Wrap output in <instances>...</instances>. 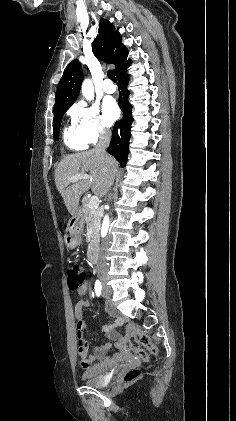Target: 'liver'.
I'll return each instance as SVG.
<instances>
[{
	"instance_id": "6515ba94",
	"label": "liver",
	"mask_w": 236,
	"mask_h": 421,
	"mask_svg": "<svg viewBox=\"0 0 236 421\" xmlns=\"http://www.w3.org/2000/svg\"><path fill=\"white\" fill-rule=\"evenodd\" d=\"M118 168V162L114 156L96 152L95 148L86 150V152H77V154H68L60 160L55 168V184L63 196L67 211L76 217L79 208L80 196L91 188L100 196L106 194L109 186L113 184L115 172ZM90 172L91 178H79L76 182L70 184L69 178L75 174H87Z\"/></svg>"
}]
</instances>
